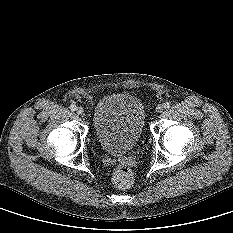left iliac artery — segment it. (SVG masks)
<instances>
[{
  "label": "left iliac artery",
  "instance_id": "1",
  "mask_svg": "<svg viewBox=\"0 0 233 233\" xmlns=\"http://www.w3.org/2000/svg\"><path fill=\"white\" fill-rule=\"evenodd\" d=\"M164 108L169 109V108H170V103H169V102H166V103L164 104Z\"/></svg>",
  "mask_w": 233,
  "mask_h": 233
}]
</instances>
